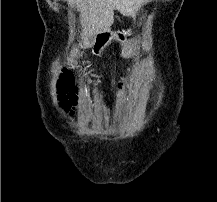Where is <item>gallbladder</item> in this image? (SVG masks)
I'll use <instances>...</instances> for the list:
<instances>
[{
    "mask_svg": "<svg viewBox=\"0 0 217 202\" xmlns=\"http://www.w3.org/2000/svg\"><path fill=\"white\" fill-rule=\"evenodd\" d=\"M94 40H95V36H89L86 44H93Z\"/></svg>",
    "mask_w": 217,
    "mask_h": 202,
    "instance_id": "1",
    "label": "gallbladder"
}]
</instances>
